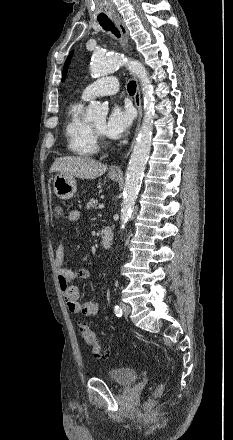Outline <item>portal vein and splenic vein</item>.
Here are the masks:
<instances>
[{"label":"portal vein and splenic vein","instance_id":"portal-vein-and-splenic-vein-1","mask_svg":"<svg viewBox=\"0 0 233 440\" xmlns=\"http://www.w3.org/2000/svg\"><path fill=\"white\" fill-rule=\"evenodd\" d=\"M103 208H104V204H100L99 209H103Z\"/></svg>","mask_w":233,"mask_h":440}]
</instances>
